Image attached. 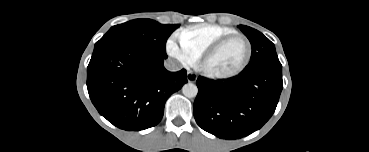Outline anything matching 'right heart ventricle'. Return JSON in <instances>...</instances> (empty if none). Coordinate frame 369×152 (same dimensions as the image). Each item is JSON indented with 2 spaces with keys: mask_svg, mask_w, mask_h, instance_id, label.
Wrapping results in <instances>:
<instances>
[{
  "mask_svg": "<svg viewBox=\"0 0 369 152\" xmlns=\"http://www.w3.org/2000/svg\"><path fill=\"white\" fill-rule=\"evenodd\" d=\"M233 33L236 31L227 26L202 23L183 28L178 33V39L197 61L210 45Z\"/></svg>",
  "mask_w": 369,
  "mask_h": 152,
  "instance_id": "right-heart-ventricle-1",
  "label": "right heart ventricle"
}]
</instances>
